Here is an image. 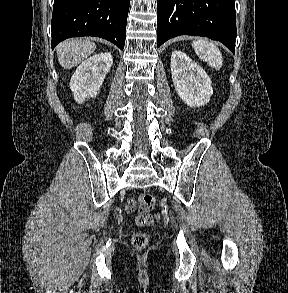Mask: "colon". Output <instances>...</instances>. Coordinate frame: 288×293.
Segmentation results:
<instances>
[{"label":"colon","instance_id":"obj_1","mask_svg":"<svg viewBox=\"0 0 288 293\" xmlns=\"http://www.w3.org/2000/svg\"><path fill=\"white\" fill-rule=\"evenodd\" d=\"M155 204V199L151 194H141L135 200L128 203L127 209L132 212L138 211L137 223L139 225H148L154 221V216L150 214ZM149 244V236L145 233H136L132 237V245L136 250H144Z\"/></svg>","mask_w":288,"mask_h":293}]
</instances>
